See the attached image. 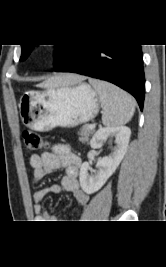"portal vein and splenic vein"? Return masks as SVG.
Returning a JSON list of instances; mask_svg holds the SVG:
<instances>
[{
    "instance_id": "obj_1",
    "label": "portal vein and splenic vein",
    "mask_w": 166,
    "mask_h": 267,
    "mask_svg": "<svg viewBox=\"0 0 166 267\" xmlns=\"http://www.w3.org/2000/svg\"><path fill=\"white\" fill-rule=\"evenodd\" d=\"M89 128H90V129H94V128H95V124H90V125H89Z\"/></svg>"
}]
</instances>
